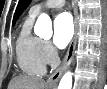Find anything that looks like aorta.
<instances>
[{
  "instance_id": "1",
  "label": "aorta",
  "mask_w": 107,
  "mask_h": 89,
  "mask_svg": "<svg viewBox=\"0 0 107 89\" xmlns=\"http://www.w3.org/2000/svg\"><path fill=\"white\" fill-rule=\"evenodd\" d=\"M34 32L36 35L49 39L52 36V22L50 17L42 13L38 17L35 27H34ZM58 89H72V73L70 71H67L63 77L60 80Z\"/></svg>"
}]
</instances>
